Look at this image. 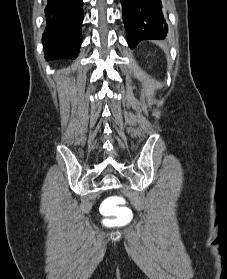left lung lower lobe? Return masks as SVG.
Wrapping results in <instances>:
<instances>
[{"instance_id":"left-lung-lower-lobe-1","label":"left lung lower lobe","mask_w":227,"mask_h":279,"mask_svg":"<svg viewBox=\"0 0 227 279\" xmlns=\"http://www.w3.org/2000/svg\"><path fill=\"white\" fill-rule=\"evenodd\" d=\"M121 3L131 48L142 40L166 37L168 27L163 17L161 0H121Z\"/></svg>"}]
</instances>
